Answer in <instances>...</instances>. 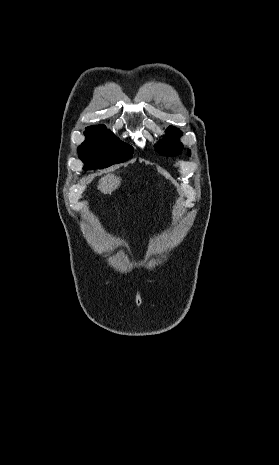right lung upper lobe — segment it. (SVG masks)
<instances>
[{
  "mask_svg": "<svg viewBox=\"0 0 279 465\" xmlns=\"http://www.w3.org/2000/svg\"><path fill=\"white\" fill-rule=\"evenodd\" d=\"M99 126H104V125H99ZM91 127H96V126H91ZM88 128H90V127H88ZM86 129H87V128H86Z\"/></svg>",
  "mask_w": 279,
  "mask_h": 465,
  "instance_id": "obj_1",
  "label": "right lung upper lobe"
}]
</instances>
